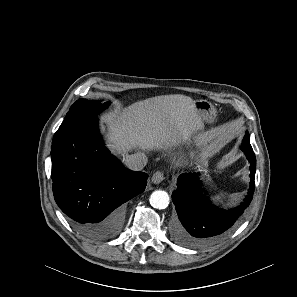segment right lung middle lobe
<instances>
[{"label": "right lung middle lobe", "mask_w": 297, "mask_h": 297, "mask_svg": "<svg viewBox=\"0 0 297 297\" xmlns=\"http://www.w3.org/2000/svg\"><path fill=\"white\" fill-rule=\"evenodd\" d=\"M108 105L109 102L101 104L100 101L79 99L70 107L59 129H63L72 123H78L84 119L96 117V115L107 108Z\"/></svg>", "instance_id": "1"}]
</instances>
